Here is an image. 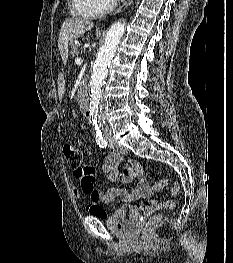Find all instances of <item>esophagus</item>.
<instances>
[{"mask_svg":"<svg viewBox=\"0 0 233 263\" xmlns=\"http://www.w3.org/2000/svg\"><path fill=\"white\" fill-rule=\"evenodd\" d=\"M133 0H127L122 6H120L114 13L113 15H116L118 13H121L124 11L131 3Z\"/></svg>","mask_w":233,"mask_h":263,"instance_id":"1","label":"esophagus"}]
</instances>
